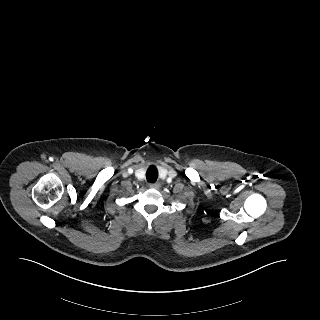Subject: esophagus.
Masks as SVG:
<instances>
[{
    "label": "esophagus",
    "instance_id": "esophagus-1",
    "mask_svg": "<svg viewBox=\"0 0 320 320\" xmlns=\"http://www.w3.org/2000/svg\"><path fill=\"white\" fill-rule=\"evenodd\" d=\"M149 187L152 188V189H157L160 187V183H150L149 184Z\"/></svg>",
    "mask_w": 320,
    "mask_h": 320
}]
</instances>
